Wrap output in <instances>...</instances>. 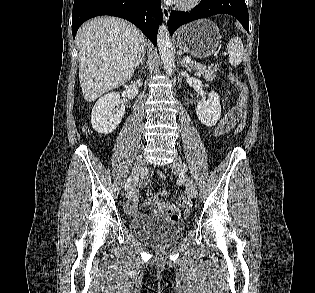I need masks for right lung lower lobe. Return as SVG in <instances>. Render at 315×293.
<instances>
[{"mask_svg":"<svg viewBox=\"0 0 315 293\" xmlns=\"http://www.w3.org/2000/svg\"><path fill=\"white\" fill-rule=\"evenodd\" d=\"M99 15L124 18L135 24L156 46L157 30L162 22L160 0H75L72 34L88 19Z\"/></svg>","mask_w":315,"mask_h":293,"instance_id":"right-lung-lower-lobe-1","label":"right lung lower lobe"}]
</instances>
